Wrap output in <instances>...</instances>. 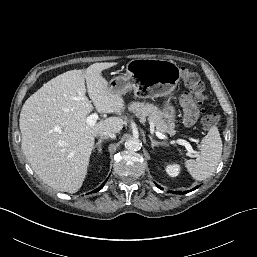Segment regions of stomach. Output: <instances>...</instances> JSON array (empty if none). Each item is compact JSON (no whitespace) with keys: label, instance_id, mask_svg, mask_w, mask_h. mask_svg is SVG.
Masks as SVG:
<instances>
[{"label":"stomach","instance_id":"0dacf381","mask_svg":"<svg viewBox=\"0 0 257 257\" xmlns=\"http://www.w3.org/2000/svg\"><path fill=\"white\" fill-rule=\"evenodd\" d=\"M180 80V68L171 60L134 59L127 63L126 74L111 79L108 87L125 94L133 91L140 98L170 97ZM162 112L166 119L173 120L175 107L168 99Z\"/></svg>","mask_w":257,"mask_h":257}]
</instances>
